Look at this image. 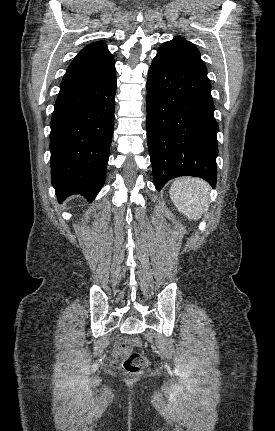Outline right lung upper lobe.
Wrapping results in <instances>:
<instances>
[{
	"mask_svg": "<svg viewBox=\"0 0 275 431\" xmlns=\"http://www.w3.org/2000/svg\"><path fill=\"white\" fill-rule=\"evenodd\" d=\"M115 69L113 55L104 42H94L84 47L70 64L61 87L77 85L98 79Z\"/></svg>",
	"mask_w": 275,
	"mask_h": 431,
	"instance_id": "right-lung-upper-lobe-1",
	"label": "right lung upper lobe"
}]
</instances>
